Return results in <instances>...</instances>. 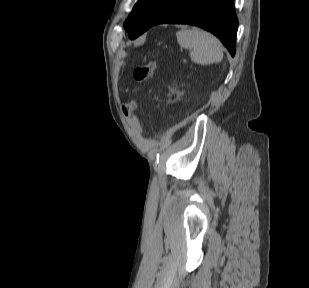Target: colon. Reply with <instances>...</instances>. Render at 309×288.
<instances>
[{"mask_svg": "<svg viewBox=\"0 0 309 288\" xmlns=\"http://www.w3.org/2000/svg\"><path fill=\"white\" fill-rule=\"evenodd\" d=\"M155 70H156V61L154 59H151L145 63L138 65L134 69L133 71L134 79L139 83H146L152 78ZM137 107H138L137 100H132L129 104H127L123 108V112L127 120L138 131L140 129V124L138 118L134 114V111L137 109Z\"/></svg>", "mask_w": 309, "mask_h": 288, "instance_id": "5ec220e1", "label": "colon"}]
</instances>
